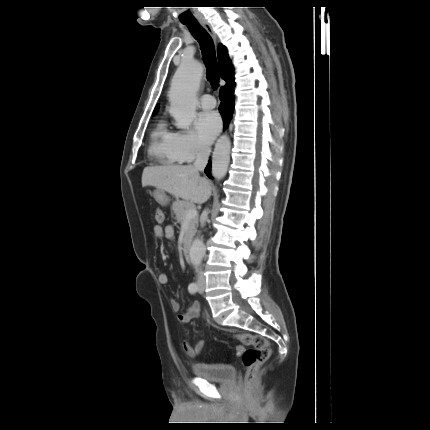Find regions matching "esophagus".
<instances>
[{"mask_svg": "<svg viewBox=\"0 0 430 430\" xmlns=\"http://www.w3.org/2000/svg\"><path fill=\"white\" fill-rule=\"evenodd\" d=\"M201 24L205 28V30L210 34V36L213 38V40L216 42L217 37H216V34H215L213 28L211 27V25L206 21L201 22Z\"/></svg>", "mask_w": 430, "mask_h": 430, "instance_id": "1", "label": "esophagus"}]
</instances>
